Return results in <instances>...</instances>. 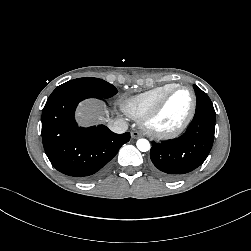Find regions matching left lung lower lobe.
<instances>
[{"instance_id":"0a47b994","label":"left lung lower lobe","mask_w":251,"mask_h":251,"mask_svg":"<svg viewBox=\"0 0 251 251\" xmlns=\"http://www.w3.org/2000/svg\"><path fill=\"white\" fill-rule=\"evenodd\" d=\"M216 115L197 112L186 132L174 140L152 143L153 170L175 180L199 167L207 158L214 140Z\"/></svg>"}]
</instances>
